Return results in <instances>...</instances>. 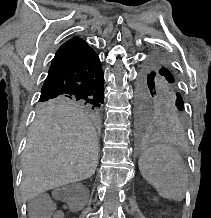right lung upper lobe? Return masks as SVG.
Here are the masks:
<instances>
[{
  "label": "right lung upper lobe",
  "instance_id": "obj_1",
  "mask_svg": "<svg viewBox=\"0 0 211 218\" xmlns=\"http://www.w3.org/2000/svg\"><path fill=\"white\" fill-rule=\"evenodd\" d=\"M93 51V49L87 45L85 41L79 38H73L64 43L55 54L52 62L78 55L81 53Z\"/></svg>",
  "mask_w": 211,
  "mask_h": 218
}]
</instances>
